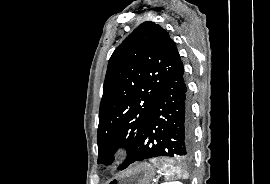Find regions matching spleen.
<instances>
[{
    "label": "spleen",
    "instance_id": "3e777b00",
    "mask_svg": "<svg viewBox=\"0 0 270 184\" xmlns=\"http://www.w3.org/2000/svg\"><path fill=\"white\" fill-rule=\"evenodd\" d=\"M159 168L163 172L166 180H171L176 177H181V171L170 163H164L161 166H159ZM166 183H169V182H165L162 184H166Z\"/></svg>",
    "mask_w": 270,
    "mask_h": 184
}]
</instances>
